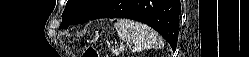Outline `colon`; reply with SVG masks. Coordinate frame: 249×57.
Listing matches in <instances>:
<instances>
[{"label":"colon","instance_id":"colon-1","mask_svg":"<svg viewBox=\"0 0 249 57\" xmlns=\"http://www.w3.org/2000/svg\"><path fill=\"white\" fill-rule=\"evenodd\" d=\"M82 57H100V54L95 48H88Z\"/></svg>","mask_w":249,"mask_h":57}]
</instances>
